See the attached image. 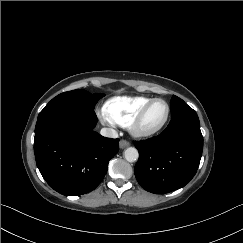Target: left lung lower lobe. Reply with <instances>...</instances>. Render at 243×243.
<instances>
[{"mask_svg":"<svg viewBox=\"0 0 243 243\" xmlns=\"http://www.w3.org/2000/svg\"><path fill=\"white\" fill-rule=\"evenodd\" d=\"M139 159L134 173L147 191L164 194L185 186L195 175L203 149L198 116L170 121L158 136L135 142Z\"/></svg>","mask_w":243,"mask_h":243,"instance_id":"1","label":"left lung lower lobe"}]
</instances>
